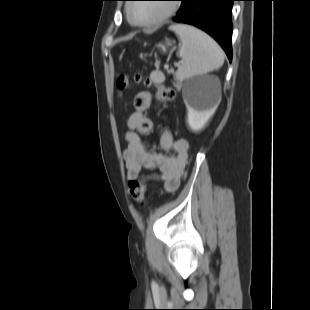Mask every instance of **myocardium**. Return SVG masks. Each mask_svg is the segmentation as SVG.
<instances>
[{"label":"myocardium","mask_w":310,"mask_h":310,"mask_svg":"<svg viewBox=\"0 0 310 310\" xmlns=\"http://www.w3.org/2000/svg\"><path fill=\"white\" fill-rule=\"evenodd\" d=\"M132 6H133V4H128L126 7V15H127L129 22L135 26L144 27V28H149V27L158 26V25L162 24L163 22L168 20L171 16H173L178 10V7L175 4H173L172 2H170L167 4V8H166L165 12L161 16H159L158 18L153 19L151 21H136L133 19L132 15H131V7Z\"/></svg>","instance_id":"obj_1"}]
</instances>
